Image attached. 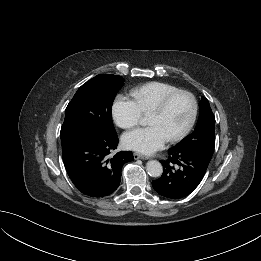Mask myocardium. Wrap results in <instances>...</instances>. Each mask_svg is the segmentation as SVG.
I'll return each instance as SVG.
<instances>
[{
    "label": "myocardium",
    "instance_id": "f54148a6",
    "mask_svg": "<svg viewBox=\"0 0 261 261\" xmlns=\"http://www.w3.org/2000/svg\"><path fill=\"white\" fill-rule=\"evenodd\" d=\"M187 96L191 101V114L188 123L184 129L178 134L169 137V141L176 142L183 139L193 128L197 114H198V101L193 93L187 90H178L168 95L157 107H155L149 114H163L169 108L171 103L179 96Z\"/></svg>",
    "mask_w": 261,
    "mask_h": 261
}]
</instances>
